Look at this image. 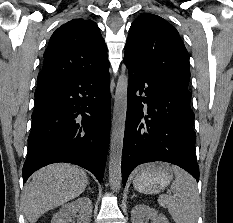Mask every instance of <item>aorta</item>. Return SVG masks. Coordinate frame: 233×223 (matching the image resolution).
Masks as SVG:
<instances>
[{"label": "aorta", "mask_w": 233, "mask_h": 223, "mask_svg": "<svg viewBox=\"0 0 233 223\" xmlns=\"http://www.w3.org/2000/svg\"><path fill=\"white\" fill-rule=\"evenodd\" d=\"M128 76H119L115 90L109 153V183L113 191L121 187L122 149L127 112Z\"/></svg>", "instance_id": "obj_1"}]
</instances>
